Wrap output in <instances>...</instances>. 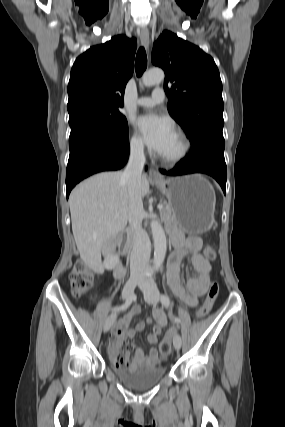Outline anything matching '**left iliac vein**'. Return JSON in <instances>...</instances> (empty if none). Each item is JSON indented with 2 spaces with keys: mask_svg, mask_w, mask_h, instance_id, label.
<instances>
[{
  "mask_svg": "<svg viewBox=\"0 0 285 427\" xmlns=\"http://www.w3.org/2000/svg\"><path fill=\"white\" fill-rule=\"evenodd\" d=\"M139 287L142 289L144 294V299L148 304H156L159 301L160 295L159 290L150 278L142 279L139 283ZM174 348L179 350L182 345V339L180 335H176L173 340Z\"/></svg>",
  "mask_w": 285,
  "mask_h": 427,
  "instance_id": "obj_1",
  "label": "left iliac vein"
}]
</instances>
